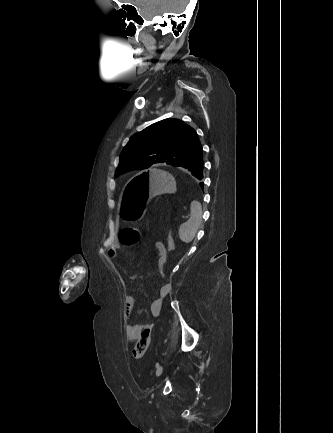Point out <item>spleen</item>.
Listing matches in <instances>:
<instances>
[{
	"mask_svg": "<svg viewBox=\"0 0 333 433\" xmlns=\"http://www.w3.org/2000/svg\"><path fill=\"white\" fill-rule=\"evenodd\" d=\"M202 222V209L198 202L191 203V216L189 220L183 223L179 228V237L185 242H191Z\"/></svg>",
	"mask_w": 333,
	"mask_h": 433,
	"instance_id": "spleen-1",
	"label": "spleen"
}]
</instances>
